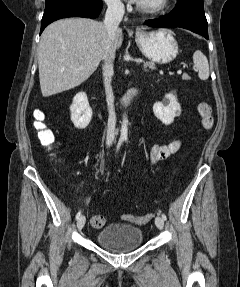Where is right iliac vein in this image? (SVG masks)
<instances>
[{
	"mask_svg": "<svg viewBox=\"0 0 240 287\" xmlns=\"http://www.w3.org/2000/svg\"><path fill=\"white\" fill-rule=\"evenodd\" d=\"M86 219L85 216H80L77 220V228L79 231H81L85 225Z\"/></svg>",
	"mask_w": 240,
	"mask_h": 287,
	"instance_id": "1",
	"label": "right iliac vein"
}]
</instances>
